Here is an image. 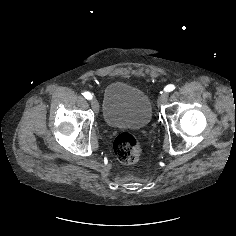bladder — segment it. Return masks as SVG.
Instances as JSON below:
<instances>
[{
    "mask_svg": "<svg viewBox=\"0 0 236 236\" xmlns=\"http://www.w3.org/2000/svg\"><path fill=\"white\" fill-rule=\"evenodd\" d=\"M107 126L116 129H139L152 119V102L139 88L123 82L107 85L101 104Z\"/></svg>",
    "mask_w": 236,
    "mask_h": 236,
    "instance_id": "1",
    "label": "bladder"
}]
</instances>
